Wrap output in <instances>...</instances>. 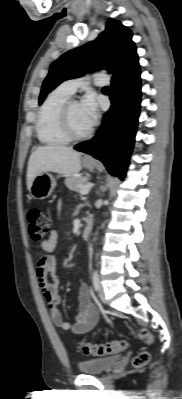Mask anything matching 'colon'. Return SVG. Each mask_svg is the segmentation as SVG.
<instances>
[{
  "label": "colon",
  "instance_id": "obj_1",
  "mask_svg": "<svg viewBox=\"0 0 182 399\" xmlns=\"http://www.w3.org/2000/svg\"><path fill=\"white\" fill-rule=\"evenodd\" d=\"M27 219L31 238L35 241L43 240L47 236L50 228V219L48 215L39 208H32L28 211ZM136 335L146 343H151L153 341V335L147 329L137 330ZM127 346V341L123 339L112 340L105 343L85 342L78 345L82 353L93 356L117 354L124 351ZM149 360L150 354L146 351H142L134 357L133 365L135 367H142L147 364Z\"/></svg>",
  "mask_w": 182,
  "mask_h": 399
}]
</instances>
